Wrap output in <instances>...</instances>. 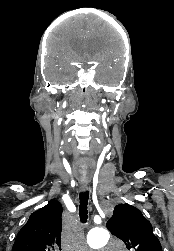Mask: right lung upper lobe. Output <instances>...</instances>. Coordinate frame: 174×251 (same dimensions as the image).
Wrapping results in <instances>:
<instances>
[{
    "label": "right lung upper lobe",
    "mask_w": 174,
    "mask_h": 251,
    "mask_svg": "<svg viewBox=\"0 0 174 251\" xmlns=\"http://www.w3.org/2000/svg\"><path fill=\"white\" fill-rule=\"evenodd\" d=\"M62 206L51 200L46 206L30 215L18 232L12 251L61 250Z\"/></svg>",
    "instance_id": "right-lung-upper-lobe-1"
}]
</instances>
